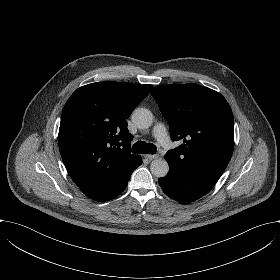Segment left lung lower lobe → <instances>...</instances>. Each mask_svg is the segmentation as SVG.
I'll use <instances>...</instances> for the list:
<instances>
[{"label":"left lung lower lobe","instance_id":"1","mask_svg":"<svg viewBox=\"0 0 280 280\" xmlns=\"http://www.w3.org/2000/svg\"><path fill=\"white\" fill-rule=\"evenodd\" d=\"M168 174L159 178V184L166 195L180 203H190L208 193L218 176L203 172H186L182 168L170 165Z\"/></svg>","mask_w":280,"mask_h":280}]
</instances>
